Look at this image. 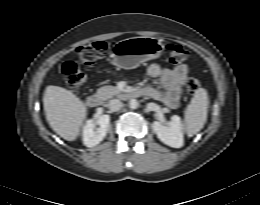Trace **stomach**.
<instances>
[{"label": "stomach", "mask_w": 260, "mask_h": 205, "mask_svg": "<svg viewBox=\"0 0 260 205\" xmlns=\"http://www.w3.org/2000/svg\"><path fill=\"white\" fill-rule=\"evenodd\" d=\"M163 45L153 37H131L117 42L112 50L113 64L132 69L141 63L161 56Z\"/></svg>", "instance_id": "obj_1"}]
</instances>
